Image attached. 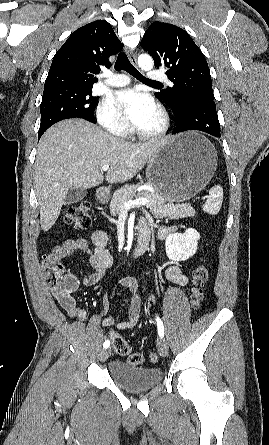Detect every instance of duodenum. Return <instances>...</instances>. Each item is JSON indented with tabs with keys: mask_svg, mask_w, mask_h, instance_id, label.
I'll return each mask as SVG.
<instances>
[{
	"mask_svg": "<svg viewBox=\"0 0 269 445\" xmlns=\"http://www.w3.org/2000/svg\"><path fill=\"white\" fill-rule=\"evenodd\" d=\"M98 197L100 199H103L106 197V192L102 189L98 191ZM151 241V234L148 231H141L139 233L137 241L134 243V245L130 249V256L131 257H137L144 252L147 251L149 248Z\"/></svg>",
	"mask_w": 269,
	"mask_h": 445,
	"instance_id": "obj_1",
	"label": "duodenum"
}]
</instances>
